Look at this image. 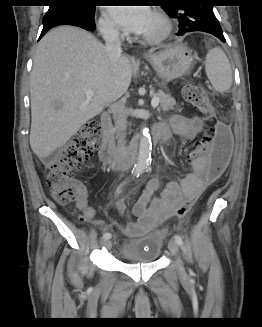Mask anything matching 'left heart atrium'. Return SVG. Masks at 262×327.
Here are the masks:
<instances>
[{
	"label": "left heart atrium",
	"instance_id": "1",
	"mask_svg": "<svg viewBox=\"0 0 262 327\" xmlns=\"http://www.w3.org/2000/svg\"><path fill=\"white\" fill-rule=\"evenodd\" d=\"M110 16L125 31L143 33L153 14L143 5H119L110 8Z\"/></svg>",
	"mask_w": 262,
	"mask_h": 327
}]
</instances>
